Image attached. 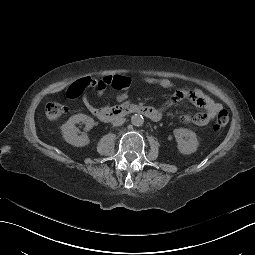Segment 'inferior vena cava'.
Returning a JSON list of instances; mask_svg holds the SVG:
<instances>
[{
	"label": "inferior vena cava",
	"instance_id": "602c4592",
	"mask_svg": "<svg viewBox=\"0 0 255 255\" xmlns=\"http://www.w3.org/2000/svg\"><path fill=\"white\" fill-rule=\"evenodd\" d=\"M125 118L119 117L113 121V126H121L125 122Z\"/></svg>",
	"mask_w": 255,
	"mask_h": 255
}]
</instances>
